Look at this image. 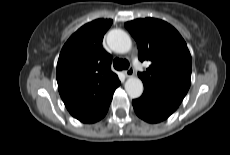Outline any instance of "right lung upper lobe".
Here are the masks:
<instances>
[{"mask_svg": "<svg viewBox=\"0 0 230 155\" xmlns=\"http://www.w3.org/2000/svg\"><path fill=\"white\" fill-rule=\"evenodd\" d=\"M111 24L110 19L85 24L61 50L56 71L58 89L75 118L101 107L120 82L111 71V55L102 48L104 34Z\"/></svg>", "mask_w": 230, "mask_h": 155, "instance_id": "right-lung-upper-lobe-1", "label": "right lung upper lobe"}]
</instances>
